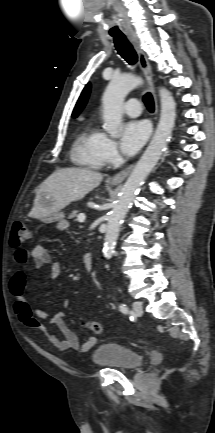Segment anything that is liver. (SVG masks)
Segmentation results:
<instances>
[{
    "mask_svg": "<svg viewBox=\"0 0 215 433\" xmlns=\"http://www.w3.org/2000/svg\"><path fill=\"white\" fill-rule=\"evenodd\" d=\"M102 180L103 175L96 171L78 167L58 169L38 187L29 215L41 219L54 211L61 210L71 202L84 198L87 193L99 186ZM43 193L51 197L50 207L41 204Z\"/></svg>",
    "mask_w": 215,
    "mask_h": 433,
    "instance_id": "liver-1",
    "label": "liver"
}]
</instances>
